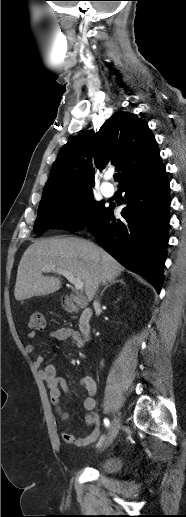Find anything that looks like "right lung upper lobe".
I'll list each match as a JSON object with an SVG mask.
<instances>
[{"instance_id": "1", "label": "right lung upper lobe", "mask_w": 186, "mask_h": 517, "mask_svg": "<svg viewBox=\"0 0 186 517\" xmlns=\"http://www.w3.org/2000/svg\"><path fill=\"white\" fill-rule=\"evenodd\" d=\"M103 169L109 161L122 171V184L151 170L160 161L156 140L145 120L117 111L95 134L86 131L71 139L59 152L42 200L91 190L93 163Z\"/></svg>"}]
</instances>
